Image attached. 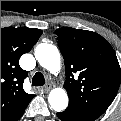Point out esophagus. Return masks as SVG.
Instances as JSON below:
<instances>
[{
  "instance_id": "esophagus-1",
  "label": "esophagus",
  "mask_w": 121,
  "mask_h": 121,
  "mask_svg": "<svg viewBox=\"0 0 121 121\" xmlns=\"http://www.w3.org/2000/svg\"><path fill=\"white\" fill-rule=\"evenodd\" d=\"M50 88H51V85L50 84H46L45 86H44V92H48L49 90H50Z\"/></svg>"
}]
</instances>
